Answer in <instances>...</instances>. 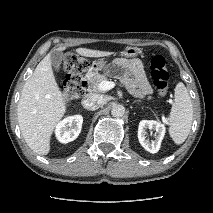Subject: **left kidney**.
I'll return each instance as SVG.
<instances>
[{
	"label": "left kidney",
	"instance_id": "obj_1",
	"mask_svg": "<svg viewBox=\"0 0 213 213\" xmlns=\"http://www.w3.org/2000/svg\"><path fill=\"white\" fill-rule=\"evenodd\" d=\"M154 129L155 133V140L151 142L146 139V130ZM165 126L160 122L153 121V120H142L139 123L138 127V139L142 147L150 153L158 152L163 137L165 135Z\"/></svg>",
	"mask_w": 213,
	"mask_h": 213
}]
</instances>
